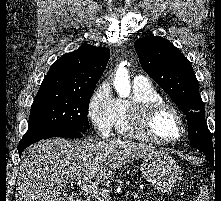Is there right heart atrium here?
Wrapping results in <instances>:
<instances>
[{
	"label": "right heart atrium",
	"mask_w": 221,
	"mask_h": 201,
	"mask_svg": "<svg viewBox=\"0 0 221 201\" xmlns=\"http://www.w3.org/2000/svg\"><path fill=\"white\" fill-rule=\"evenodd\" d=\"M87 116L98 133L107 136L115 126L117 99L108 82H102L94 90L88 103Z\"/></svg>",
	"instance_id": "d8ad5b80"
}]
</instances>
